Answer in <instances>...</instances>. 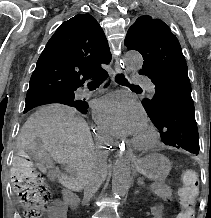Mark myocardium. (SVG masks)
<instances>
[{"label":"myocardium","mask_w":211,"mask_h":218,"mask_svg":"<svg viewBox=\"0 0 211 218\" xmlns=\"http://www.w3.org/2000/svg\"><path fill=\"white\" fill-rule=\"evenodd\" d=\"M142 131L144 133V138L136 135L130 141V145L137 151L148 152L155 147L158 139V134L156 130L150 125H146Z\"/></svg>","instance_id":"myocardium-1"}]
</instances>
